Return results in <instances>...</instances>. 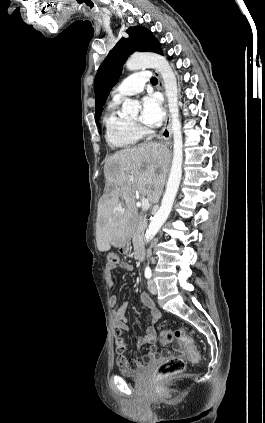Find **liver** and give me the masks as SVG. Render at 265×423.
<instances>
[{"label": "liver", "instance_id": "1", "mask_svg": "<svg viewBox=\"0 0 265 423\" xmlns=\"http://www.w3.org/2000/svg\"><path fill=\"white\" fill-rule=\"evenodd\" d=\"M169 159L164 145L150 142L117 151L106 160V183L114 189L103 196L98 207L96 242L99 251H108L111 245L119 247L120 242L126 240L129 218L136 213L137 191L151 203L159 200Z\"/></svg>", "mask_w": 265, "mask_h": 423}]
</instances>
